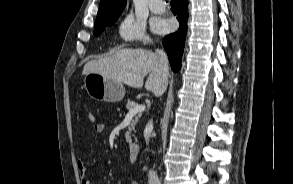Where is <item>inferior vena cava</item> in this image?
Segmentation results:
<instances>
[{"instance_id":"602c4592","label":"inferior vena cava","mask_w":293,"mask_h":184,"mask_svg":"<svg viewBox=\"0 0 293 184\" xmlns=\"http://www.w3.org/2000/svg\"><path fill=\"white\" fill-rule=\"evenodd\" d=\"M156 55H157L159 73L161 76L162 88H161V91L155 95L161 96L163 92L166 90L167 82H168V76H169L168 58H167V55L161 50H156ZM148 127L152 129V121L149 122ZM148 142H149V135L146 136V143L148 144ZM148 178H149L148 179L149 184H161L156 172H154L153 170L149 171Z\"/></svg>"}]
</instances>
